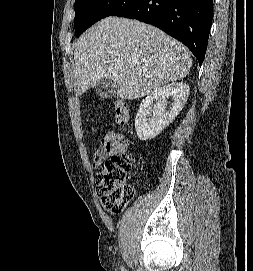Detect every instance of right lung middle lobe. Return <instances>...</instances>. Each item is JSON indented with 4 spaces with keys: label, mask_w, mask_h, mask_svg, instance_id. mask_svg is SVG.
Masks as SVG:
<instances>
[{
    "label": "right lung middle lobe",
    "mask_w": 253,
    "mask_h": 271,
    "mask_svg": "<svg viewBox=\"0 0 253 271\" xmlns=\"http://www.w3.org/2000/svg\"><path fill=\"white\" fill-rule=\"evenodd\" d=\"M128 0H75V35L79 36L92 24L112 15Z\"/></svg>",
    "instance_id": "dd1d6c3e"
}]
</instances>
